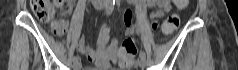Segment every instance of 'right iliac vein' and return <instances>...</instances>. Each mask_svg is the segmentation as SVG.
Segmentation results:
<instances>
[{"label":"right iliac vein","instance_id":"right-iliac-vein-1","mask_svg":"<svg viewBox=\"0 0 238 70\" xmlns=\"http://www.w3.org/2000/svg\"><path fill=\"white\" fill-rule=\"evenodd\" d=\"M98 8H101V7H98ZM82 67L81 65V62L78 60V61H73V69L74 70H80Z\"/></svg>","mask_w":238,"mask_h":70}]
</instances>
